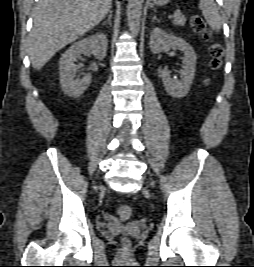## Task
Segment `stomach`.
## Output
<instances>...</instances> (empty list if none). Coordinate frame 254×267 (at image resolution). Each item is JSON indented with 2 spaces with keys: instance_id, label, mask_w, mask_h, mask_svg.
Returning <instances> with one entry per match:
<instances>
[{
  "instance_id": "obj_1",
  "label": "stomach",
  "mask_w": 254,
  "mask_h": 267,
  "mask_svg": "<svg viewBox=\"0 0 254 267\" xmlns=\"http://www.w3.org/2000/svg\"><path fill=\"white\" fill-rule=\"evenodd\" d=\"M170 0H153V3L157 6H164L166 5Z\"/></svg>"
}]
</instances>
